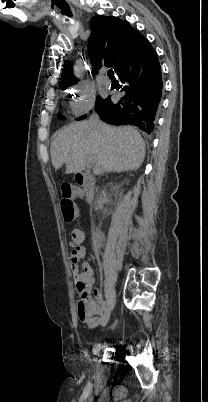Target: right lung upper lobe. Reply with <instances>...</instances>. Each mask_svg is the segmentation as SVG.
Masks as SVG:
<instances>
[{"mask_svg": "<svg viewBox=\"0 0 208 402\" xmlns=\"http://www.w3.org/2000/svg\"><path fill=\"white\" fill-rule=\"evenodd\" d=\"M90 27L92 33L88 51L93 64L92 75L97 73L102 61L116 72L120 58L131 48L140 35L139 31L133 29L126 20L100 15L92 18ZM75 82L77 79L73 75L72 66L67 64L62 72L61 88Z\"/></svg>", "mask_w": 208, "mask_h": 402, "instance_id": "1", "label": "right lung upper lobe"}]
</instances>
